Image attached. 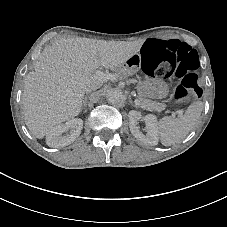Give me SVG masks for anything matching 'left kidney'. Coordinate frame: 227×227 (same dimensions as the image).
<instances>
[{
    "label": "left kidney",
    "mask_w": 227,
    "mask_h": 227,
    "mask_svg": "<svg viewBox=\"0 0 227 227\" xmlns=\"http://www.w3.org/2000/svg\"><path fill=\"white\" fill-rule=\"evenodd\" d=\"M129 126L131 133L146 145H157L159 143V121L158 117L154 114H147L144 118L146 123L147 133H142L137 126L138 121L141 119V114L137 111L129 112Z\"/></svg>",
    "instance_id": "1"
}]
</instances>
